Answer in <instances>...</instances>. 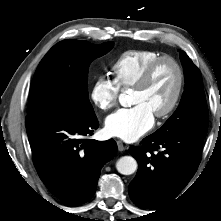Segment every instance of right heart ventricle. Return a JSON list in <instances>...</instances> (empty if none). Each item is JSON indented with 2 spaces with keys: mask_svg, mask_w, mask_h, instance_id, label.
Returning <instances> with one entry per match:
<instances>
[{
  "mask_svg": "<svg viewBox=\"0 0 221 221\" xmlns=\"http://www.w3.org/2000/svg\"><path fill=\"white\" fill-rule=\"evenodd\" d=\"M161 56L151 50H130L122 53L111 65L113 81L119 89L131 88L145 67Z\"/></svg>",
  "mask_w": 221,
  "mask_h": 221,
  "instance_id": "right-heart-ventricle-1",
  "label": "right heart ventricle"
}]
</instances>
